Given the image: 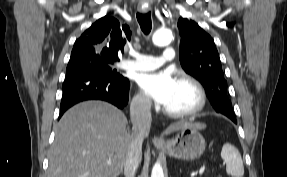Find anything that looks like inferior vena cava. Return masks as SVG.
Listing matches in <instances>:
<instances>
[{"instance_id": "obj_1", "label": "inferior vena cava", "mask_w": 287, "mask_h": 177, "mask_svg": "<svg viewBox=\"0 0 287 177\" xmlns=\"http://www.w3.org/2000/svg\"><path fill=\"white\" fill-rule=\"evenodd\" d=\"M130 115L132 122V142L124 164L125 177H135L142 157V143L149 135L151 127V101L139 98L131 103Z\"/></svg>"}]
</instances>
